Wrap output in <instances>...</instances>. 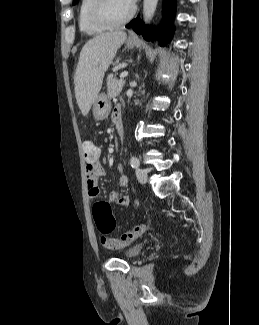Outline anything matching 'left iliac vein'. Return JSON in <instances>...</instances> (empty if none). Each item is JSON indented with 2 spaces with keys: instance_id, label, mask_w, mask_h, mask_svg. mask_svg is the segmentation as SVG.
Wrapping results in <instances>:
<instances>
[{
  "instance_id": "obj_1",
  "label": "left iliac vein",
  "mask_w": 259,
  "mask_h": 325,
  "mask_svg": "<svg viewBox=\"0 0 259 325\" xmlns=\"http://www.w3.org/2000/svg\"><path fill=\"white\" fill-rule=\"evenodd\" d=\"M136 177L138 181L142 184L147 182L148 176H147V171L141 168L136 169Z\"/></svg>"
}]
</instances>
